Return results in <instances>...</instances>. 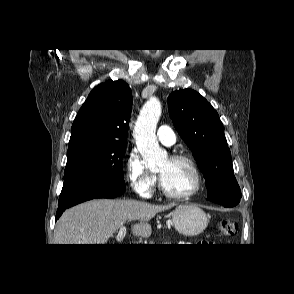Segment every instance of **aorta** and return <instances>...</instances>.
Here are the masks:
<instances>
[{
	"mask_svg": "<svg viewBox=\"0 0 294 294\" xmlns=\"http://www.w3.org/2000/svg\"><path fill=\"white\" fill-rule=\"evenodd\" d=\"M160 115V101L150 98L144 104L134 128L138 150L151 170L162 166L167 160V152L159 146L156 138V125Z\"/></svg>",
	"mask_w": 294,
	"mask_h": 294,
	"instance_id": "obj_1",
	"label": "aorta"
}]
</instances>
